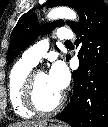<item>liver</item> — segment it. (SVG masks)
<instances>
[{
  "mask_svg": "<svg viewBox=\"0 0 108 127\" xmlns=\"http://www.w3.org/2000/svg\"><path fill=\"white\" fill-rule=\"evenodd\" d=\"M47 122L45 120L41 121H24L17 122L9 125V127H46Z\"/></svg>",
  "mask_w": 108,
  "mask_h": 127,
  "instance_id": "1",
  "label": "liver"
}]
</instances>
